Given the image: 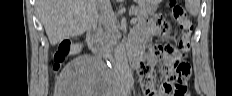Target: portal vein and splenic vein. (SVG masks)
<instances>
[{
    "label": "portal vein and splenic vein",
    "instance_id": "18ae733b",
    "mask_svg": "<svg viewBox=\"0 0 232 96\" xmlns=\"http://www.w3.org/2000/svg\"><path fill=\"white\" fill-rule=\"evenodd\" d=\"M99 2L101 3L103 8L109 9L110 8V1L109 0H99ZM108 17L113 18L114 14L113 13H109ZM137 19L136 18H132L131 19V23H136Z\"/></svg>",
    "mask_w": 232,
    "mask_h": 96
}]
</instances>
